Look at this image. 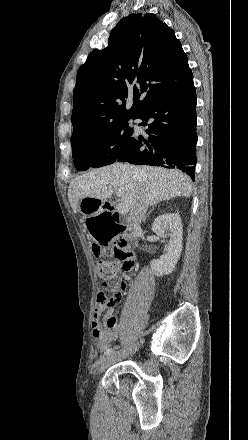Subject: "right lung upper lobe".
Segmentation results:
<instances>
[{
  "instance_id": "right-lung-upper-lobe-1",
  "label": "right lung upper lobe",
  "mask_w": 248,
  "mask_h": 440,
  "mask_svg": "<svg viewBox=\"0 0 248 440\" xmlns=\"http://www.w3.org/2000/svg\"><path fill=\"white\" fill-rule=\"evenodd\" d=\"M193 80L174 31L155 14H131L119 21L103 50H93L79 68L73 92V135L114 126L149 100ZM133 105L126 110V101Z\"/></svg>"
}]
</instances>
